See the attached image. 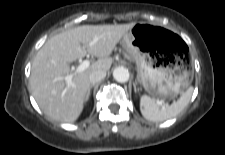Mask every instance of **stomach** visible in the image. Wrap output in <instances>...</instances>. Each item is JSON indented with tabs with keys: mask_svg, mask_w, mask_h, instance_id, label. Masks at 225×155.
Masks as SVG:
<instances>
[{
	"mask_svg": "<svg viewBox=\"0 0 225 155\" xmlns=\"http://www.w3.org/2000/svg\"><path fill=\"white\" fill-rule=\"evenodd\" d=\"M177 40L170 30L149 23H137L124 35L143 87L152 96L170 98L191 83L184 54L174 48Z\"/></svg>",
	"mask_w": 225,
	"mask_h": 155,
	"instance_id": "obj_1",
	"label": "stomach"
}]
</instances>
